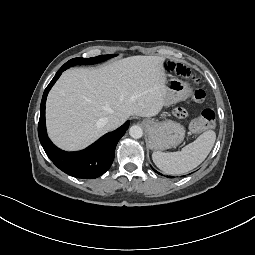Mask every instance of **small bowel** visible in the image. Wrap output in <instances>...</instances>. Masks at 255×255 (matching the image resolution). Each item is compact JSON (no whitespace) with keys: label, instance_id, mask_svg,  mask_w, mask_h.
Returning <instances> with one entry per match:
<instances>
[{"label":"small bowel","instance_id":"c3829d8e","mask_svg":"<svg viewBox=\"0 0 255 255\" xmlns=\"http://www.w3.org/2000/svg\"><path fill=\"white\" fill-rule=\"evenodd\" d=\"M173 118L177 122H184L188 118V111L184 107H177L173 111Z\"/></svg>","mask_w":255,"mask_h":255}]
</instances>
